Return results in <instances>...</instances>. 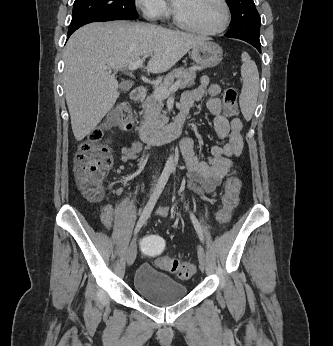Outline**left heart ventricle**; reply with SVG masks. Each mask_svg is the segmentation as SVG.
<instances>
[{"mask_svg":"<svg viewBox=\"0 0 333 346\" xmlns=\"http://www.w3.org/2000/svg\"><path fill=\"white\" fill-rule=\"evenodd\" d=\"M179 15L190 24L205 30L215 29L223 21L219 0H173Z\"/></svg>","mask_w":333,"mask_h":346,"instance_id":"obj_1","label":"left heart ventricle"}]
</instances>
